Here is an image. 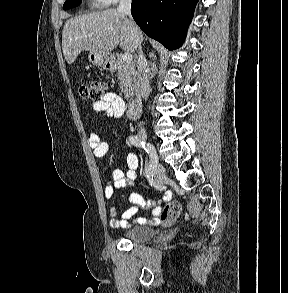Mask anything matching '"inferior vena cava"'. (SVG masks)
Returning <instances> with one entry per match:
<instances>
[{
	"label": "inferior vena cava",
	"mask_w": 288,
	"mask_h": 293,
	"mask_svg": "<svg viewBox=\"0 0 288 293\" xmlns=\"http://www.w3.org/2000/svg\"><path fill=\"white\" fill-rule=\"evenodd\" d=\"M117 10L123 15L128 16V21L130 23L131 29L136 34L138 43L137 80L140 88V94L142 98L147 100L150 93L149 78L146 73L147 62L141 49V32L131 17V0H120L119 7ZM139 134L145 135V129L141 125Z\"/></svg>",
	"instance_id": "obj_1"
}]
</instances>
